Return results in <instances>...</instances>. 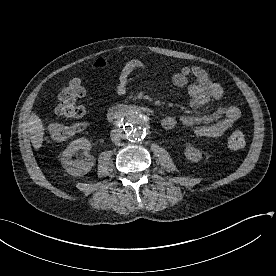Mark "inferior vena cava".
Listing matches in <instances>:
<instances>
[{
	"mask_svg": "<svg viewBox=\"0 0 276 276\" xmlns=\"http://www.w3.org/2000/svg\"><path fill=\"white\" fill-rule=\"evenodd\" d=\"M122 138V134L119 131L113 130L111 132V140L115 143V144H119L120 140Z\"/></svg>",
	"mask_w": 276,
	"mask_h": 276,
	"instance_id": "inferior-vena-cava-1",
	"label": "inferior vena cava"
}]
</instances>
